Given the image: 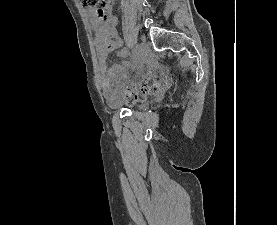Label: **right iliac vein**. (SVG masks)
<instances>
[{
  "instance_id": "63e3f726",
  "label": "right iliac vein",
  "mask_w": 277,
  "mask_h": 225,
  "mask_svg": "<svg viewBox=\"0 0 277 225\" xmlns=\"http://www.w3.org/2000/svg\"><path fill=\"white\" fill-rule=\"evenodd\" d=\"M139 50H138V61L139 63H144L147 57V52H148V46L146 43L142 42L139 45Z\"/></svg>"
}]
</instances>
